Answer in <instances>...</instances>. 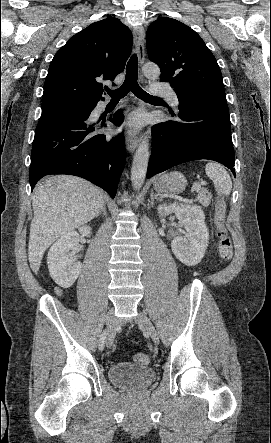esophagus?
I'll use <instances>...</instances> for the list:
<instances>
[{
    "label": "esophagus",
    "mask_w": 271,
    "mask_h": 443,
    "mask_svg": "<svg viewBox=\"0 0 271 443\" xmlns=\"http://www.w3.org/2000/svg\"><path fill=\"white\" fill-rule=\"evenodd\" d=\"M134 45L138 56L139 64L143 65L145 61V31L143 27L133 29ZM140 80L143 82V75H140ZM139 143V137H134L130 133L126 136V148L128 152L133 153Z\"/></svg>",
    "instance_id": "obj_1"
}]
</instances>
